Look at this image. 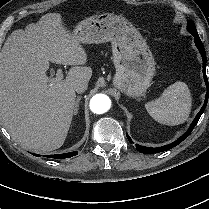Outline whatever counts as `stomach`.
Segmentation results:
<instances>
[{
    "label": "stomach",
    "instance_id": "0dacf381",
    "mask_svg": "<svg viewBox=\"0 0 209 209\" xmlns=\"http://www.w3.org/2000/svg\"><path fill=\"white\" fill-rule=\"evenodd\" d=\"M70 34L81 44L111 42L114 86L131 97L145 94L155 74V61L146 40L125 17L93 15L79 22Z\"/></svg>",
    "mask_w": 209,
    "mask_h": 209
}]
</instances>
